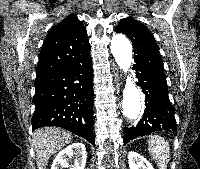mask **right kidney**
I'll return each mask as SVG.
<instances>
[{
	"instance_id": "1",
	"label": "right kidney",
	"mask_w": 200,
	"mask_h": 169,
	"mask_svg": "<svg viewBox=\"0 0 200 169\" xmlns=\"http://www.w3.org/2000/svg\"><path fill=\"white\" fill-rule=\"evenodd\" d=\"M86 158L87 153L84 144L76 142L57 154L51 169H84ZM72 160L74 161V165L69 164V161Z\"/></svg>"
}]
</instances>
